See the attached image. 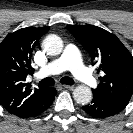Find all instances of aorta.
Returning <instances> with one entry per match:
<instances>
[{
	"mask_svg": "<svg viewBox=\"0 0 133 133\" xmlns=\"http://www.w3.org/2000/svg\"><path fill=\"white\" fill-rule=\"evenodd\" d=\"M44 51L48 55H59L63 50L62 39L54 34L48 35L42 43ZM74 100L82 105L88 104L92 99V91L88 86H77L73 91Z\"/></svg>",
	"mask_w": 133,
	"mask_h": 133,
	"instance_id": "obj_1",
	"label": "aorta"
}]
</instances>
